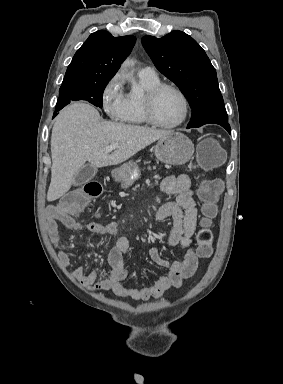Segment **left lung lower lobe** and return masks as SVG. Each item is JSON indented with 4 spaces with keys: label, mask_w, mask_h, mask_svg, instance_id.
I'll list each match as a JSON object with an SVG mask.
<instances>
[{
    "label": "left lung lower lobe",
    "mask_w": 283,
    "mask_h": 384,
    "mask_svg": "<svg viewBox=\"0 0 283 384\" xmlns=\"http://www.w3.org/2000/svg\"><path fill=\"white\" fill-rule=\"evenodd\" d=\"M216 124H219L221 125L223 128H225L229 134H231V128H230V125L228 123H221V122H218Z\"/></svg>",
    "instance_id": "1"
}]
</instances>
